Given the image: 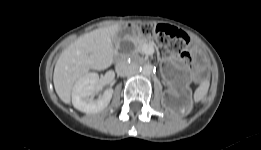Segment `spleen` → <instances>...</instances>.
<instances>
[{"mask_svg": "<svg viewBox=\"0 0 261 150\" xmlns=\"http://www.w3.org/2000/svg\"><path fill=\"white\" fill-rule=\"evenodd\" d=\"M209 89V82H203L194 93V101L199 102L207 94Z\"/></svg>", "mask_w": 261, "mask_h": 150, "instance_id": "1", "label": "spleen"}]
</instances>
